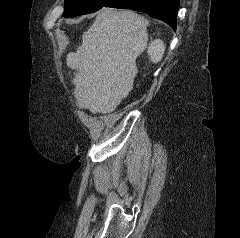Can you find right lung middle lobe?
I'll list each match as a JSON object with an SVG mask.
<instances>
[{
    "label": "right lung middle lobe",
    "mask_w": 240,
    "mask_h": 238,
    "mask_svg": "<svg viewBox=\"0 0 240 238\" xmlns=\"http://www.w3.org/2000/svg\"><path fill=\"white\" fill-rule=\"evenodd\" d=\"M114 0H65L63 16L74 17L96 12L102 7H107Z\"/></svg>",
    "instance_id": "obj_1"
}]
</instances>
